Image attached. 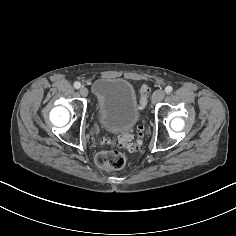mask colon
I'll use <instances>...</instances> for the list:
<instances>
[{
    "label": "colon",
    "instance_id": "1",
    "mask_svg": "<svg viewBox=\"0 0 236 236\" xmlns=\"http://www.w3.org/2000/svg\"><path fill=\"white\" fill-rule=\"evenodd\" d=\"M149 88L147 85H142L140 88V100L139 106L144 109L147 105ZM144 136V128L140 129L139 138L135 143V148H139L142 145V138ZM128 157L124 151L110 150L101 151L95 155L94 161L96 165L105 170H119L122 169L127 163Z\"/></svg>",
    "mask_w": 236,
    "mask_h": 236
}]
</instances>
